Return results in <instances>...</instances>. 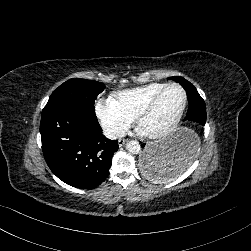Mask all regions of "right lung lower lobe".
<instances>
[{"label":"right lung lower lobe","mask_w":251,"mask_h":251,"mask_svg":"<svg viewBox=\"0 0 251 251\" xmlns=\"http://www.w3.org/2000/svg\"><path fill=\"white\" fill-rule=\"evenodd\" d=\"M40 133L49 168L66 184L91 189L109 175L118 141L102 134L94 110L74 105L44 107Z\"/></svg>","instance_id":"right-lung-lower-lobe-1"}]
</instances>
